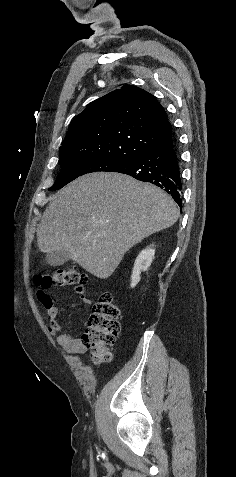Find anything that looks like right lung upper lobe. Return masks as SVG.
I'll list each match as a JSON object with an SVG mask.
<instances>
[{
  "instance_id": "right-lung-upper-lobe-1",
  "label": "right lung upper lobe",
  "mask_w": 236,
  "mask_h": 477,
  "mask_svg": "<svg viewBox=\"0 0 236 477\" xmlns=\"http://www.w3.org/2000/svg\"><path fill=\"white\" fill-rule=\"evenodd\" d=\"M171 133L155 97L125 85L87 105L70 123L59 161L86 156L131 161L167 142Z\"/></svg>"
}]
</instances>
